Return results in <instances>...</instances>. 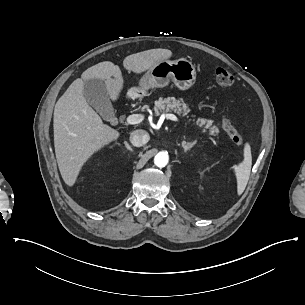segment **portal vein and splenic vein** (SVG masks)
<instances>
[{"instance_id":"portal-vein-and-splenic-vein-1","label":"portal vein and splenic vein","mask_w":305,"mask_h":305,"mask_svg":"<svg viewBox=\"0 0 305 305\" xmlns=\"http://www.w3.org/2000/svg\"><path fill=\"white\" fill-rule=\"evenodd\" d=\"M170 119L172 121H178V118L174 114H162L159 121L162 123L164 119ZM144 116L142 114H132L127 117V123L134 125L142 122Z\"/></svg>"}]
</instances>
